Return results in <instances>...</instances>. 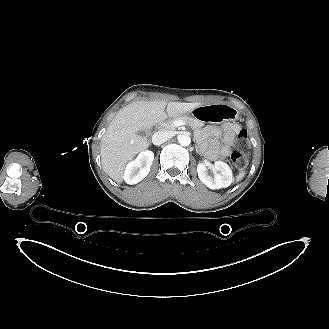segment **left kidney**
Returning a JSON list of instances; mask_svg holds the SVG:
<instances>
[{
	"mask_svg": "<svg viewBox=\"0 0 329 329\" xmlns=\"http://www.w3.org/2000/svg\"><path fill=\"white\" fill-rule=\"evenodd\" d=\"M214 170L220 173H214V176H211L208 174L207 168L203 163H199L197 166L198 177L207 187L210 189H220L232 184V170L226 163L215 161Z\"/></svg>",
	"mask_w": 329,
	"mask_h": 329,
	"instance_id": "obj_1",
	"label": "left kidney"
}]
</instances>
